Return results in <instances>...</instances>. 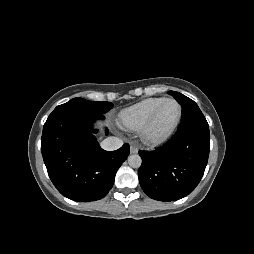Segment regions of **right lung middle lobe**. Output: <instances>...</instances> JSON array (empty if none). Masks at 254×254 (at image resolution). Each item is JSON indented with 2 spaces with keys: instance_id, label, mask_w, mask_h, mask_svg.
I'll return each mask as SVG.
<instances>
[{
  "instance_id": "1",
  "label": "right lung middle lobe",
  "mask_w": 254,
  "mask_h": 254,
  "mask_svg": "<svg viewBox=\"0 0 254 254\" xmlns=\"http://www.w3.org/2000/svg\"><path fill=\"white\" fill-rule=\"evenodd\" d=\"M112 107H113V104L111 102H94V101H88V100H84L82 98L77 97V98L71 99L65 104L57 106L55 109L71 108V109H76L83 112L104 114L108 112Z\"/></svg>"
}]
</instances>
